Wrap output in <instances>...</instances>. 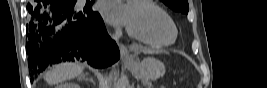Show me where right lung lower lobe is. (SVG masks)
I'll use <instances>...</instances> for the list:
<instances>
[{"instance_id": "obj_1", "label": "right lung lower lobe", "mask_w": 267, "mask_h": 88, "mask_svg": "<svg viewBox=\"0 0 267 88\" xmlns=\"http://www.w3.org/2000/svg\"><path fill=\"white\" fill-rule=\"evenodd\" d=\"M77 0H33L28 4L26 52L31 77L62 60L87 61L96 68L112 65L120 58L116 43L104 22L88 2L77 8Z\"/></svg>"}]
</instances>
